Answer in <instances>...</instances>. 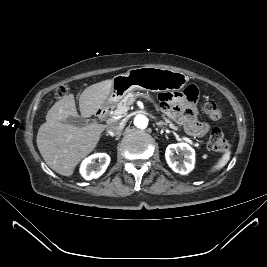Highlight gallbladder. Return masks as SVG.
<instances>
[{"instance_id": "bac80fb5", "label": "gallbladder", "mask_w": 267, "mask_h": 267, "mask_svg": "<svg viewBox=\"0 0 267 267\" xmlns=\"http://www.w3.org/2000/svg\"><path fill=\"white\" fill-rule=\"evenodd\" d=\"M68 124L77 126V127H84L85 125H87L88 120L82 116L79 117H68L65 121Z\"/></svg>"}]
</instances>
